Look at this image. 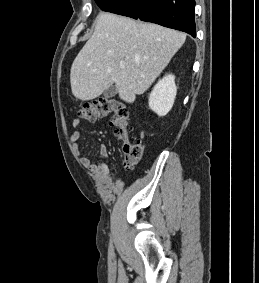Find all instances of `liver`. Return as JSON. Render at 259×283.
I'll list each match as a JSON object with an SVG mask.
<instances>
[{"label":"liver","mask_w":259,"mask_h":283,"mask_svg":"<svg viewBox=\"0 0 259 283\" xmlns=\"http://www.w3.org/2000/svg\"><path fill=\"white\" fill-rule=\"evenodd\" d=\"M95 23L70 71L72 93L82 101L97 98L115 84L120 99L133 103L186 40V34L174 29L112 13H100Z\"/></svg>","instance_id":"6515ba94"}]
</instances>
